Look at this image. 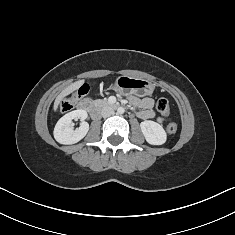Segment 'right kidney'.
<instances>
[{
  "instance_id": "right-kidney-1",
  "label": "right kidney",
  "mask_w": 235,
  "mask_h": 235,
  "mask_svg": "<svg viewBox=\"0 0 235 235\" xmlns=\"http://www.w3.org/2000/svg\"><path fill=\"white\" fill-rule=\"evenodd\" d=\"M87 116V112L82 109L65 114L59 119L54 128L53 134L55 140L65 145L79 142L86 136L89 130V124L85 122ZM73 119H80L82 121L79 128L74 129L72 127Z\"/></svg>"
}]
</instances>
